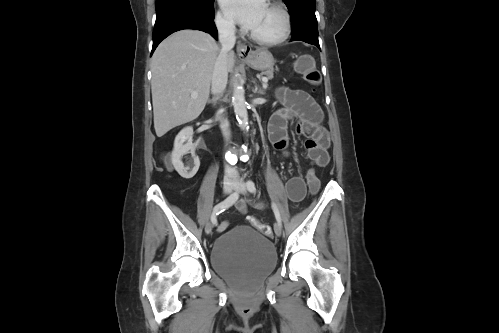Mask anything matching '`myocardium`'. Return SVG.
Wrapping results in <instances>:
<instances>
[{
    "instance_id": "obj_1",
    "label": "myocardium",
    "mask_w": 499,
    "mask_h": 333,
    "mask_svg": "<svg viewBox=\"0 0 499 333\" xmlns=\"http://www.w3.org/2000/svg\"><path fill=\"white\" fill-rule=\"evenodd\" d=\"M268 6L275 9V10H278L283 17V31H282L281 35L275 39H262V38L258 37L257 35H255L252 31H250L249 36L254 42H256L260 45L275 46V45L283 43L284 41H286L288 39V37L291 33L292 21H291V16L289 14V11L287 10V8L284 5L277 3V2H270L268 4Z\"/></svg>"
}]
</instances>
